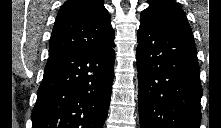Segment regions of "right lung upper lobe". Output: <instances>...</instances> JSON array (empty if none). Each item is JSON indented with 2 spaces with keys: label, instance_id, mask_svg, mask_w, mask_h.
Wrapping results in <instances>:
<instances>
[{
  "label": "right lung upper lobe",
  "instance_id": "right-lung-upper-lobe-1",
  "mask_svg": "<svg viewBox=\"0 0 221 128\" xmlns=\"http://www.w3.org/2000/svg\"><path fill=\"white\" fill-rule=\"evenodd\" d=\"M112 40L114 30L103 0H67L55 20L49 56L106 47Z\"/></svg>",
  "mask_w": 221,
  "mask_h": 128
}]
</instances>
